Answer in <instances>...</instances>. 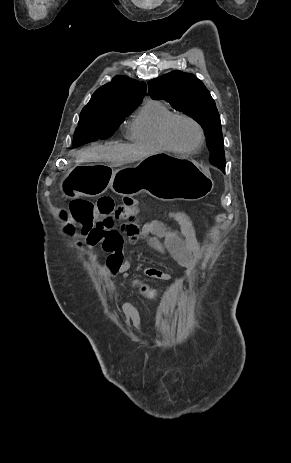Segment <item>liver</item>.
Wrapping results in <instances>:
<instances>
[{
  "label": "liver",
  "instance_id": "liver-1",
  "mask_svg": "<svg viewBox=\"0 0 291 463\" xmlns=\"http://www.w3.org/2000/svg\"><path fill=\"white\" fill-rule=\"evenodd\" d=\"M157 154V150L149 147L126 144L96 145L81 151L77 163L107 162L112 167L124 163L140 161Z\"/></svg>",
  "mask_w": 291,
  "mask_h": 463
}]
</instances>
